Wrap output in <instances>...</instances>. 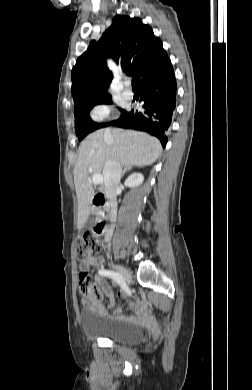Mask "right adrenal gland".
I'll use <instances>...</instances> for the list:
<instances>
[{"label": "right adrenal gland", "mask_w": 252, "mask_h": 390, "mask_svg": "<svg viewBox=\"0 0 252 390\" xmlns=\"http://www.w3.org/2000/svg\"><path fill=\"white\" fill-rule=\"evenodd\" d=\"M131 169V167H126V168H124V170H123V173H122V177L125 175V173L127 172V171H129Z\"/></svg>", "instance_id": "right-adrenal-gland-1"}]
</instances>
